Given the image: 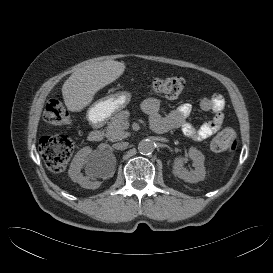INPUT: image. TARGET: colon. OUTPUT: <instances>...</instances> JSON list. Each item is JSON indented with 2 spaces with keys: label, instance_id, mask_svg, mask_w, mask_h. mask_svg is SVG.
<instances>
[{
  "label": "colon",
  "instance_id": "obj_1",
  "mask_svg": "<svg viewBox=\"0 0 273 273\" xmlns=\"http://www.w3.org/2000/svg\"><path fill=\"white\" fill-rule=\"evenodd\" d=\"M185 86L186 82L180 76L157 77L148 83L153 93L168 98L179 96ZM44 117L51 125H65L69 122L68 112L60 99L47 102ZM235 147L236 136L230 129L221 131L211 141V149L215 152H232ZM39 150L47 167L53 172H61L74 151V142L66 136H47L40 140Z\"/></svg>",
  "mask_w": 273,
  "mask_h": 273
}]
</instances>
